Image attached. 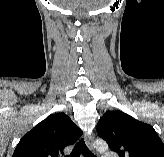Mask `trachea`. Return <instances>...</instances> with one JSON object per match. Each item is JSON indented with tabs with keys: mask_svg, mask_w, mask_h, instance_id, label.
Wrapping results in <instances>:
<instances>
[{
	"mask_svg": "<svg viewBox=\"0 0 164 157\" xmlns=\"http://www.w3.org/2000/svg\"><path fill=\"white\" fill-rule=\"evenodd\" d=\"M80 154H82L83 157H95V155L88 149L83 139L76 144L69 157H79Z\"/></svg>",
	"mask_w": 164,
	"mask_h": 157,
	"instance_id": "1",
	"label": "trachea"
}]
</instances>
